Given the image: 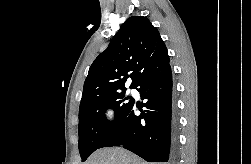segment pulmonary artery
<instances>
[{
	"mask_svg": "<svg viewBox=\"0 0 251 164\" xmlns=\"http://www.w3.org/2000/svg\"><path fill=\"white\" fill-rule=\"evenodd\" d=\"M130 92H131V94H133V95H136V94H137V91H136V89H134V88L130 89Z\"/></svg>",
	"mask_w": 251,
	"mask_h": 164,
	"instance_id": "pulmonary-artery-1",
	"label": "pulmonary artery"
}]
</instances>
